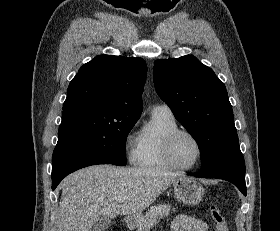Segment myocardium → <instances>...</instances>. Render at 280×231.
I'll return each instance as SVG.
<instances>
[{
  "label": "myocardium",
  "mask_w": 280,
  "mask_h": 231,
  "mask_svg": "<svg viewBox=\"0 0 280 231\" xmlns=\"http://www.w3.org/2000/svg\"><path fill=\"white\" fill-rule=\"evenodd\" d=\"M181 134L189 135L196 141V143L198 145V149H199L198 160L193 166H190V167H183V166L178 165L174 161L173 156H172L173 143H174L175 139ZM163 155H164L166 161L174 169H177L180 171H191V170L198 168L201 165L203 158H204V146H203V143L200 140V138L194 132H192L188 129H184V128H176V129L170 131L163 140Z\"/></svg>",
  "instance_id": "1"
}]
</instances>
